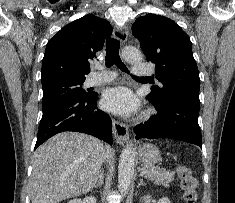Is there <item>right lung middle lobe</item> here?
<instances>
[{"label":"right lung middle lobe","instance_id":"right-lung-middle-lobe-1","mask_svg":"<svg viewBox=\"0 0 235 203\" xmlns=\"http://www.w3.org/2000/svg\"><path fill=\"white\" fill-rule=\"evenodd\" d=\"M83 82L84 80L62 81L43 85V105L68 96H89V93L85 92V90L81 87Z\"/></svg>","mask_w":235,"mask_h":203}]
</instances>
